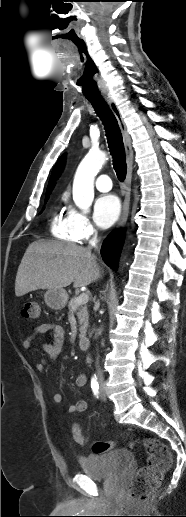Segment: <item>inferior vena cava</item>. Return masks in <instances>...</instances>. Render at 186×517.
<instances>
[{"instance_id":"obj_1","label":"inferior vena cava","mask_w":186,"mask_h":517,"mask_svg":"<svg viewBox=\"0 0 186 517\" xmlns=\"http://www.w3.org/2000/svg\"><path fill=\"white\" fill-rule=\"evenodd\" d=\"M99 242V239L97 237V235H95L90 241H89V244L90 246L88 247L89 249H91V247H94V248H97V244ZM96 369H97V376H98V379L101 380L103 379V373L101 372L100 368H99V365H98V358H97V361H96Z\"/></svg>"}]
</instances>
